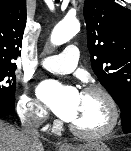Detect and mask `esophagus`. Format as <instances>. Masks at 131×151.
<instances>
[{"mask_svg": "<svg viewBox=\"0 0 131 151\" xmlns=\"http://www.w3.org/2000/svg\"><path fill=\"white\" fill-rule=\"evenodd\" d=\"M70 146L67 144V143H63V144H61V148L63 149V150H66V149H68Z\"/></svg>", "mask_w": 131, "mask_h": 151, "instance_id": "obj_1", "label": "esophagus"}]
</instances>
